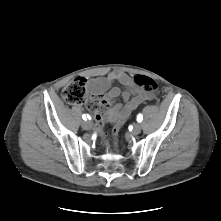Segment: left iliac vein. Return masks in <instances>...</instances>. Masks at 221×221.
Wrapping results in <instances>:
<instances>
[{"instance_id":"left-iliac-vein-1","label":"left iliac vein","mask_w":221,"mask_h":221,"mask_svg":"<svg viewBox=\"0 0 221 221\" xmlns=\"http://www.w3.org/2000/svg\"><path fill=\"white\" fill-rule=\"evenodd\" d=\"M141 128H142L141 124L137 123V124L134 125V128H133L131 133L136 136L141 132Z\"/></svg>"}]
</instances>
